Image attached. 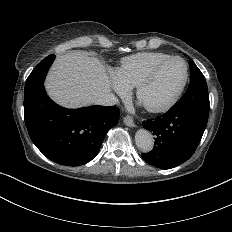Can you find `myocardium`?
Here are the masks:
<instances>
[{"mask_svg": "<svg viewBox=\"0 0 232 232\" xmlns=\"http://www.w3.org/2000/svg\"><path fill=\"white\" fill-rule=\"evenodd\" d=\"M172 61H180L184 64L185 66V77L184 80L181 84V86L179 87V89L174 93V95L164 104L158 106V107H152V108H144L147 112L149 113H154V114H158V113H164L167 112L169 109H171L179 100L180 96L182 95V93L184 92L187 83L189 81V76H190V70H189V65L187 63L186 60H184L181 57L178 56H170L169 58L159 62L158 64H156L155 66H153L150 70H148L136 83V85L134 86V97L137 100V97L140 93V90L142 89V87L148 82L150 81L155 75L156 73L163 68L165 65H167L168 63L172 62Z\"/></svg>", "mask_w": 232, "mask_h": 232, "instance_id": "obj_1", "label": "myocardium"}]
</instances>
